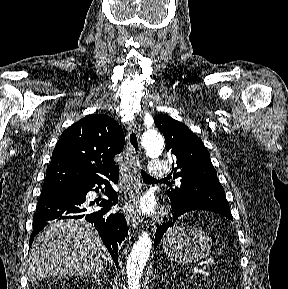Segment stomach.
I'll use <instances>...</instances> for the list:
<instances>
[{"instance_id": "stomach-1", "label": "stomach", "mask_w": 288, "mask_h": 289, "mask_svg": "<svg viewBox=\"0 0 288 289\" xmlns=\"http://www.w3.org/2000/svg\"><path fill=\"white\" fill-rule=\"evenodd\" d=\"M211 246L212 242L208 234L194 226L173 228L168 232L163 243L167 257L181 264L207 257Z\"/></svg>"}]
</instances>
